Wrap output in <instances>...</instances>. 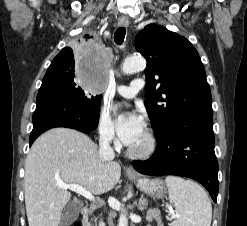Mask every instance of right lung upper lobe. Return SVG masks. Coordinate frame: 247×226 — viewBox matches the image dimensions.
<instances>
[{
  "label": "right lung upper lobe",
  "instance_id": "right-lung-upper-lobe-1",
  "mask_svg": "<svg viewBox=\"0 0 247 226\" xmlns=\"http://www.w3.org/2000/svg\"><path fill=\"white\" fill-rule=\"evenodd\" d=\"M83 38H85L86 40L91 41V42L96 40V37L93 34H86ZM71 54H72L71 48H69V47L63 48L59 52V54L53 59L50 66H54L56 61H58L61 58H66V57L70 56Z\"/></svg>",
  "mask_w": 247,
  "mask_h": 226
}]
</instances>
